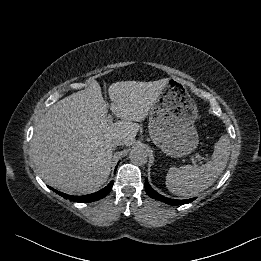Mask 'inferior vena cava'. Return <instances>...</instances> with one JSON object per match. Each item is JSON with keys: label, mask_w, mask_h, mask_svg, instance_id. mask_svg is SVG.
I'll return each instance as SVG.
<instances>
[{"label": "inferior vena cava", "mask_w": 261, "mask_h": 261, "mask_svg": "<svg viewBox=\"0 0 261 261\" xmlns=\"http://www.w3.org/2000/svg\"><path fill=\"white\" fill-rule=\"evenodd\" d=\"M120 145H122V140L121 139H115L111 143V147L113 149H115L117 146H120Z\"/></svg>", "instance_id": "602c4592"}]
</instances>
